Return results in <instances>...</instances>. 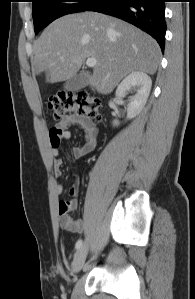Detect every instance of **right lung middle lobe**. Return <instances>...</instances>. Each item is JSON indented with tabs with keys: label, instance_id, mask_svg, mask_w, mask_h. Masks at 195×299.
<instances>
[{
	"label": "right lung middle lobe",
	"instance_id": "right-lung-middle-lobe-1",
	"mask_svg": "<svg viewBox=\"0 0 195 299\" xmlns=\"http://www.w3.org/2000/svg\"><path fill=\"white\" fill-rule=\"evenodd\" d=\"M63 1L32 0L35 34L61 16L85 11L93 0H77L76 4H65Z\"/></svg>",
	"mask_w": 195,
	"mask_h": 299
}]
</instances>
